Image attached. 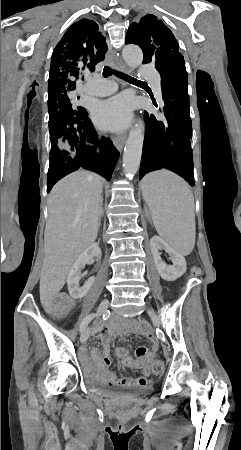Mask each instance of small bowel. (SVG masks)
Segmentation results:
<instances>
[{"instance_id":"obj_1","label":"small bowel","mask_w":241,"mask_h":450,"mask_svg":"<svg viewBox=\"0 0 241 450\" xmlns=\"http://www.w3.org/2000/svg\"><path fill=\"white\" fill-rule=\"evenodd\" d=\"M45 305L47 312H42L41 316L51 317L52 313L57 314L61 309L68 308L69 303L66 300H57L49 301ZM62 315L65 317L67 314L64 312ZM130 333L141 335L150 345L137 347L134 357H131L124 347L115 348L114 354L123 366L140 369L142 372V375L138 377H119L111 368L110 341L115 335L124 337ZM92 334L102 343V351L95 348L91 351L92 359L85 357V368L92 381L108 387L136 386L143 388L151 384L149 380L152 374L151 364L157 358L160 344L149 325L137 320H122L112 325L96 326L93 328Z\"/></svg>"}]
</instances>
